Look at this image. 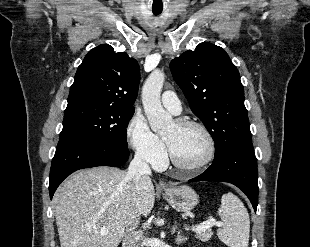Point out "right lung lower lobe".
<instances>
[{
    "label": "right lung lower lobe",
    "mask_w": 310,
    "mask_h": 247,
    "mask_svg": "<svg viewBox=\"0 0 310 247\" xmlns=\"http://www.w3.org/2000/svg\"><path fill=\"white\" fill-rule=\"evenodd\" d=\"M128 158V148H115L80 138L59 141L50 170V198L60 183L74 171L96 166L120 167Z\"/></svg>",
    "instance_id": "1"
}]
</instances>
